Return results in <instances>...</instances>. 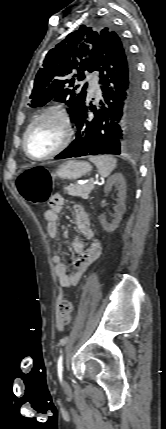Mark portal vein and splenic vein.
<instances>
[{
  "label": "portal vein and splenic vein",
  "mask_w": 166,
  "mask_h": 429,
  "mask_svg": "<svg viewBox=\"0 0 166 429\" xmlns=\"http://www.w3.org/2000/svg\"><path fill=\"white\" fill-rule=\"evenodd\" d=\"M89 182H90V183H93V184H95V183H96V181H95L93 178H91V179L89 180Z\"/></svg>",
  "instance_id": "portal-vein-and-splenic-vein-1"
}]
</instances>
